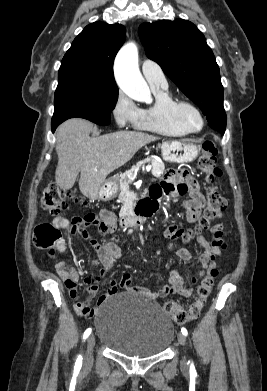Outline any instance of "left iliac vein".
I'll return each mask as SVG.
<instances>
[{
  "instance_id": "4c4485c4",
  "label": "left iliac vein",
  "mask_w": 267,
  "mask_h": 391,
  "mask_svg": "<svg viewBox=\"0 0 267 391\" xmlns=\"http://www.w3.org/2000/svg\"><path fill=\"white\" fill-rule=\"evenodd\" d=\"M177 338H178V342H179L182 346H185V344H186V337H185V335H184L183 333H178ZM181 367H182L183 369H187V360H186V358H183V359L181 360Z\"/></svg>"
}]
</instances>
